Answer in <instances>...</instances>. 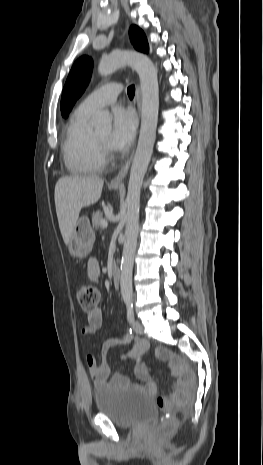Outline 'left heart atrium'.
<instances>
[{
    "label": "left heart atrium",
    "mask_w": 263,
    "mask_h": 465,
    "mask_svg": "<svg viewBox=\"0 0 263 465\" xmlns=\"http://www.w3.org/2000/svg\"><path fill=\"white\" fill-rule=\"evenodd\" d=\"M136 126V118L131 110L116 107L113 110V127L109 145L116 150L127 148L134 138Z\"/></svg>",
    "instance_id": "obj_1"
}]
</instances>
